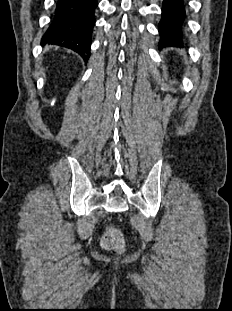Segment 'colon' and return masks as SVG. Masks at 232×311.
Returning a JSON list of instances; mask_svg holds the SVG:
<instances>
[{"mask_svg": "<svg viewBox=\"0 0 232 311\" xmlns=\"http://www.w3.org/2000/svg\"><path fill=\"white\" fill-rule=\"evenodd\" d=\"M101 245L106 250L122 251L124 248V239L121 231L113 226L107 227L101 238Z\"/></svg>", "mask_w": 232, "mask_h": 311, "instance_id": "1", "label": "colon"}]
</instances>
